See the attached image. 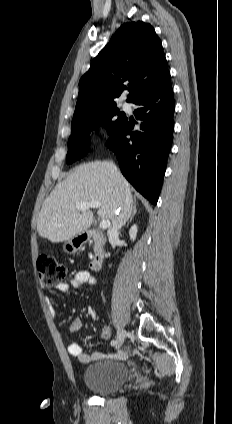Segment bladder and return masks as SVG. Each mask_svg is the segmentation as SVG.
Returning a JSON list of instances; mask_svg holds the SVG:
<instances>
[{
  "label": "bladder",
  "mask_w": 232,
  "mask_h": 424,
  "mask_svg": "<svg viewBox=\"0 0 232 424\" xmlns=\"http://www.w3.org/2000/svg\"><path fill=\"white\" fill-rule=\"evenodd\" d=\"M129 369L123 362L102 360L89 364L83 375L84 385L97 394H110L127 381Z\"/></svg>",
  "instance_id": "bladder-1"
}]
</instances>
